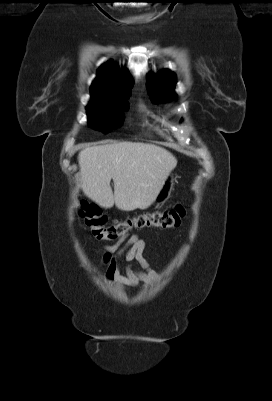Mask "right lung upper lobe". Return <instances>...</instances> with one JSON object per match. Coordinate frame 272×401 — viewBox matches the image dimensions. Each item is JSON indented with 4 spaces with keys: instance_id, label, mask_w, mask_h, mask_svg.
I'll list each match as a JSON object with an SVG mask.
<instances>
[{
    "instance_id": "right-lung-upper-lobe-1",
    "label": "right lung upper lobe",
    "mask_w": 272,
    "mask_h": 401,
    "mask_svg": "<svg viewBox=\"0 0 272 401\" xmlns=\"http://www.w3.org/2000/svg\"><path fill=\"white\" fill-rule=\"evenodd\" d=\"M133 82L129 73L120 71L117 64L108 61L103 64L90 88L91 100L130 94Z\"/></svg>"
}]
</instances>
